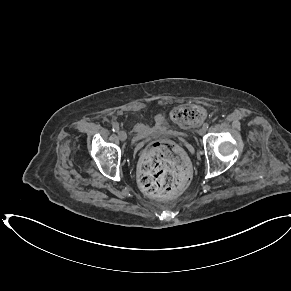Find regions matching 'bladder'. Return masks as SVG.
<instances>
[{"instance_id": "31cf9c89", "label": "bladder", "mask_w": 291, "mask_h": 291, "mask_svg": "<svg viewBox=\"0 0 291 291\" xmlns=\"http://www.w3.org/2000/svg\"><path fill=\"white\" fill-rule=\"evenodd\" d=\"M169 131H171V129L162 115L155 116L150 125H139L135 127V135L138 136L139 139L146 138L150 135L164 134Z\"/></svg>"}]
</instances>
